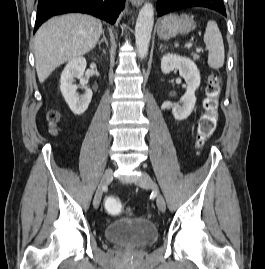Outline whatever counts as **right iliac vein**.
<instances>
[{
  "instance_id": "63e3f726",
  "label": "right iliac vein",
  "mask_w": 265,
  "mask_h": 269,
  "mask_svg": "<svg viewBox=\"0 0 265 269\" xmlns=\"http://www.w3.org/2000/svg\"><path fill=\"white\" fill-rule=\"evenodd\" d=\"M113 179V170L112 169H107L100 181L99 187L96 190L94 199H93V205L95 208H98L101 202L102 198V193H103V188L106 187Z\"/></svg>"
}]
</instances>
